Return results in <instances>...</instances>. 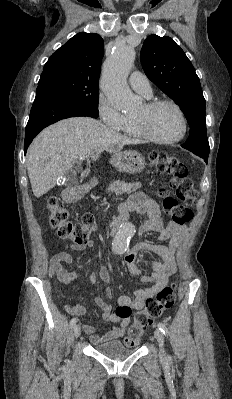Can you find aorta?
Segmentation results:
<instances>
[{
  "label": "aorta",
  "mask_w": 232,
  "mask_h": 399,
  "mask_svg": "<svg viewBox=\"0 0 232 399\" xmlns=\"http://www.w3.org/2000/svg\"><path fill=\"white\" fill-rule=\"evenodd\" d=\"M134 49L118 46L105 61L102 71L101 88L110 103L118 110L133 111L139 106L138 98L127 84V77L135 60ZM133 224L124 223L112 242V251L123 254L133 236Z\"/></svg>",
  "instance_id": "1"
}]
</instances>
